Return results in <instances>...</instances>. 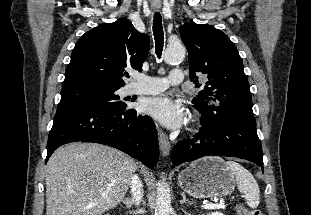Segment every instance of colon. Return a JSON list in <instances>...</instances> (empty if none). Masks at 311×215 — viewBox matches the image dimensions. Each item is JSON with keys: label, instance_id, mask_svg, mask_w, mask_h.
Returning <instances> with one entry per match:
<instances>
[{"label": "colon", "instance_id": "1", "mask_svg": "<svg viewBox=\"0 0 311 215\" xmlns=\"http://www.w3.org/2000/svg\"><path fill=\"white\" fill-rule=\"evenodd\" d=\"M237 215H264V214L256 209H250L245 206H239L237 208Z\"/></svg>", "mask_w": 311, "mask_h": 215}]
</instances>
